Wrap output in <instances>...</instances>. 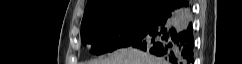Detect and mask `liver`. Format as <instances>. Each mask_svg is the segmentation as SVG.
I'll use <instances>...</instances> for the list:
<instances>
[{"instance_id":"obj_1","label":"liver","mask_w":242,"mask_h":64,"mask_svg":"<svg viewBox=\"0 0 242 64\" xmlns=\"http://www.w3.org/2000/svg\"><path fill=\"white\" fill-rule=\"evenodd\" d=\"M87 64H165L160 58L137 49H119L108 57L88 61Z\"/></svg>"}]
</instances>
